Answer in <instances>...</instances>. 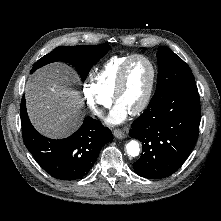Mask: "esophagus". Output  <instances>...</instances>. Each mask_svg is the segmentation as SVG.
I'll use <instances>...</instances> for the list:
<instances>
[{"instance_id": "obj_1", "label": "esophagus", "mask_w": 221, "mask_h": 221, "mask_svg": "<svg viewBox=\"0 0 221 221\" xmlns=\"http://www.w3.org/2000/svg\"><path fill=\"white\" fill-rule=\"evenodd\" d=\"M113 134L118 139H123V138L127 137V133L125 131L121 130V129H115L113 131Z\"/></svg>"}]
</instances>
